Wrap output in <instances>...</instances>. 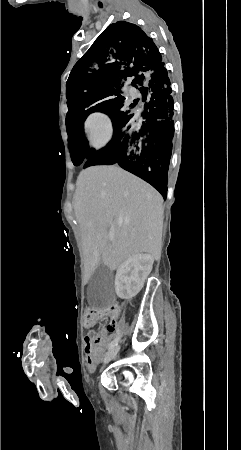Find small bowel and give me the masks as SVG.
Here are the masks:
<instances>
[{
	"label": "small bowel",
	"mask_w": 241,
	"mask_h": 450,
	"mask_svg": "<svg viewBox=\"0 0 241 450\" xmlns=\"http://www.w3.org/2000/svg\"><path fill=\"white\" fill-rule=\"evenodd\" d=\"M116 326V320L111 319L107 327H103L98 332H94L85 337L84 350L86 354V361L90 371L95 370L97 362L103 350L111 343V337L107 335V332L114 331ZM86 327L88 326L86 325ZM111 327H113V329H111ZM96 345L98 346L96 347Z\"/></svg>",
	"instance_id": "small-bowel-1"
}]
</instances>
